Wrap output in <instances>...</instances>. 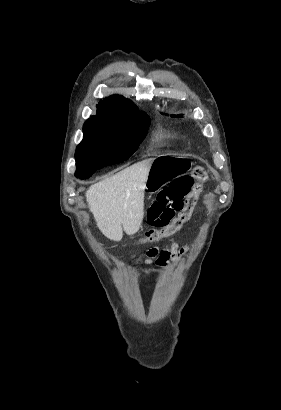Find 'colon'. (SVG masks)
<instances>
[{"label":"colon","mask_w":281,"mask_h":410,"mask_svg":"<svg viewBox=\"0 0 281 410\" xmlns=\"http://www.w3.org/2000/svg\"><path fill=\"white\" fill-rule=\"evenodd\" d=\"M207 178V171L197 167L161 190L149 208L151 228L144 232L141 241L156 242L177 231L189 219Z\"/></svg>","instance_id":"colon-1"}]
</instances>
